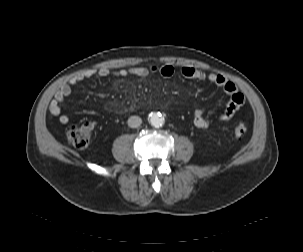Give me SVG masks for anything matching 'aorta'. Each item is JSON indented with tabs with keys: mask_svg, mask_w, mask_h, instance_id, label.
<instances>
[{
	"mask_svg": "<svg viewBox=\"0 0 303 252\" xmlns=\"http://www.w3.org/2000/svg\"><path fill=\"white\" fill-rule=\"evenodd\" d=\"M149 123L154 127H161L164 125L165 119L160 113L152 112L149 115Z\"/></svg>",
	"mask_w": 303,
	"mask_h": 252,
	"instance_id": "762f6f07",
	"label": "aorta"
}]
</instances>
